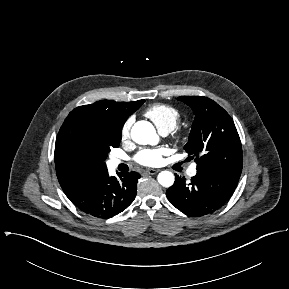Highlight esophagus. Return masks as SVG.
<instances>
[{
	"instance_id": "34e87169",
	"label": "esophagus",
	"mask_w": 289,
	"mask_h": 289,
	"mask_svg": "<svg viewBox=\"0 0 289 289\" xmlns=\"http://www.w3.org/2000/svg\"><path fill=\"white\" fill-rule=\"evenodd\" d=\"M159 170L158 169H146L143 171V174H146V175H154L156 173H158Z\"/></svg>"
}]
</instances>
